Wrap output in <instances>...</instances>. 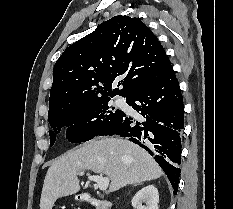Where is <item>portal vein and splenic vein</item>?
I'll list each match as a JSON object with an SVG mask.
<instances>
[{
  "label": "portal vein and splenic vein",
  "instance_id": "18ae733b",
  "mask_svg": "<svg viewBox=\"0 0 233 209\" xmlns=\"http://www.w3.org/2000/svg\"><path fill=\"white\" fill-rule=\"evenodd\" d=\"M79 175L83 176L84 172H80ZM88 179L96 182L101 191L107 190V188L109 186V178L108 177L96 176V175L94 176L93 175V176H89Z\"/></svg>",
  "mask_w": 233,
  "mask_h": 209
}]
</instances>
